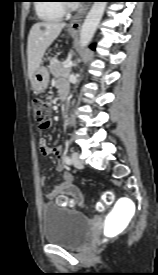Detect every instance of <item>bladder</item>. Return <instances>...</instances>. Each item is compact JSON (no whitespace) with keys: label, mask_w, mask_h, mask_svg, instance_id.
I'll return each instance as SVG.
<instances>
[{"label":"bladder","mask_w":158,"mask_h":275,"mask_svg":"<svg viewBox=\"0 0 158 275\" xmlns=\"http://www.w3.org/2000/svg\"><path fill=\"white\" fill-rule=\"evenodd\" d=\"M44 240L75 249L90 235V219L82 212L46 204L42 209Z\"/></svg>","instance_id":"obj_1"}]
</instances>
